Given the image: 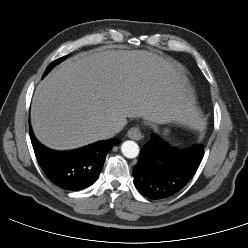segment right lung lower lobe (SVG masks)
Masks as SVG:
<instances>
[{
    "label": "right lung lower lobe",
    "instance_id": "obj_1",
    "mask_svg": "<svg viewBox=\"0 0 248 248\" xmlns=\"http://www.w3.org/2000/svg\"><path fill=\"white\" fill-rule=\"evenodd\" d=\"M30 137L37 161L45 175L58 187L73 191L85 189L97 180L106 155L121 142L109 139L77 150L58 152L40 144L31 126Z\"/></svg>",
    "mask_w": 248,
    "mask_h": 248
}]
</instances>
